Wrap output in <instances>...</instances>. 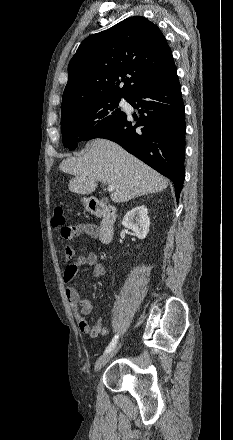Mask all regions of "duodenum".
I'll return each mask as SVG.
<instances>
[{
  "label": "duodenum",
  "mask_w": 233,
  "mask_h": 440,
  "mask_svg": "<svg viewBox=\"0 0 233 440\" xmlns=\"http://www.w3.org/2000/svg\"><path fill=\"white\" fill-rule=\"evenodd\" d=\"M91 213L101 219L99 224V240L103 244H109L114 238L116 209L100 200L90 203Z\"/></svg>",
  "instance_id": "410a0bca"
}]
</instances>
